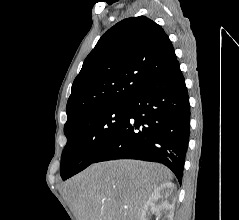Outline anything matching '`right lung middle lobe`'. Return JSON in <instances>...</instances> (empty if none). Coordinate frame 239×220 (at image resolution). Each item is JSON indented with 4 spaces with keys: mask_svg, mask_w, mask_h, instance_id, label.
<instances>
[{
    "mask_svg": "<svg viewBox=\"0 0 239 220\" xmlns=\"http://www.w3.org/2000/svg\"><path fill=\"white\" fill-rule=\"evenodd\" d=\"M127 117V104H117L90 112L64 127L67 144L61 157L63 180L82 171L120 129Z\"/></svg>",
    "mask_w": 239,
    "mask_h": 220,
    "instance_id": "dd1d6c3e",
    "label": "right lung middle lobe"
}]
</instances>
